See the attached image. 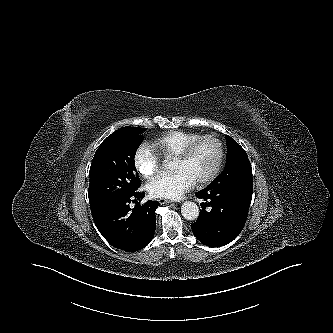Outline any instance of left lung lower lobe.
I'll list each match as a JSON object with an SVG mask.
<instances>
[{
	"instance_id": "left-lung-lower-lobe-1",
	"label": "left lung lower lobe",
	"mask_w": 333,
	"mask_h": 333,
	"mask_svg": "<svg viewBox=\"0 0 333 333\" xmlns=\"http://www.w3.org/2000/svg\"><path fill=\"white\" fill-rule=\"evenodd\" d=\"M196 196L205 202L197 221L191 224L194 236L210 247L234 240L245 225L251 198L234 193L224 182L211 183Z\"/></svg>"
}]
</instances>
